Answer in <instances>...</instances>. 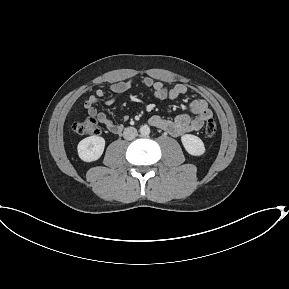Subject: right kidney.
I'll list each match as a JSON object with an SVG mask.
<instances>
[{"mask_svg":"<svg viewBox=\"0 0 289 289\" xmlns=\"http://www.w3.org/2000/svg\"><path fill=\"white\" fill-rule=\"evenodd\" d=\"M105 139L100 136H90L81 140L77 150L81 160L92 162L98 160L103 154Z\"/></svg>","mask_w":289,"mask_h":289,"instance_id":"ca27d5eb","label":"right kidney"}]
</instances>
